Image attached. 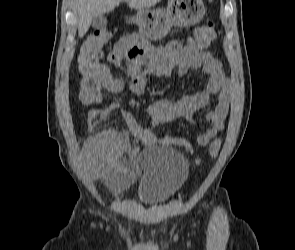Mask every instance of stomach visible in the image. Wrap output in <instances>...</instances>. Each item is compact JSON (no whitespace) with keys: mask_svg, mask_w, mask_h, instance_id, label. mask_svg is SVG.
Wrapping results in <instances>:
<instances>
[{"mask_svg":"<svg viewBox=\"0 0 295 250\" xmlns=\"http://www.w3.org/2000/svg\"><path fill=\"white\" fill-rule=\"evenodd\" d=\"M205 12L202 0H169L166 9L138 10L128 22L135 23L145 37L158 40L173 26L188 27L199 23Z\"/></svg>","mask_w":295,"mask_h":250,"instance_id":"0dacf381","label":"stomach"}]
</instances>
